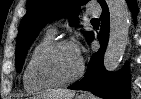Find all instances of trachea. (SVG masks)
<instances>
[{
    "label": "trachea",
    "instance_id": "1",
    "mask_svg": "<svg viewBox=\"0 0 141 99\" xmlns=\"http://www.w3.org/2000/svg\"><path fill=\"white\" fill-rule=\"evenodd\" d=\"M91 22H92V23H99V20L96 19V18H93V19L91 20Z\"/></svg>",
    "mask_w": 141,
    "mask_h": 99
}]
</instances>
